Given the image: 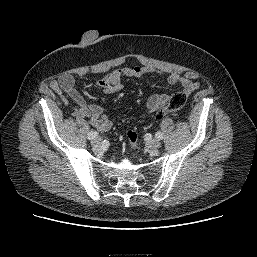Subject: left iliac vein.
Segmentation results:
<instances>
[{"label": "left iliac vein", "mask_w": 257, "mask_h": 257, "mask_svg": "<svg viewBox=\"0 0 257 257\" xmlns=\"http://www.w3.org/2000/svg\"><path fill=\"white\" fill-rule=\"evenodd\" d=\"M161 146V143L157 139H153L148 142V148L152 151H156Z\"/></svg>", "instance_id": "4c4485c4"}]
</instances>
